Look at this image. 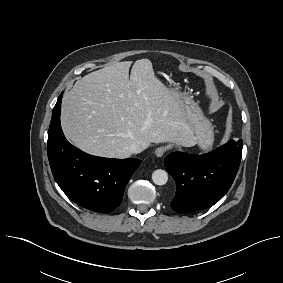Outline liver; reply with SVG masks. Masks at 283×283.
I'll list each match as a JSON object with an SVG mask.
<instances>
[{
    "label": "liver",
    "mask_w": 283,
    "mask_h": 283,
    "mask_svg": "<svg viewBox=\"0 0 283 283\" xmlns=\"http://www.w3.org/2000/svg\"><path fill=\"white\" fill-rule=\"evenodd\" d=\"M117 62L76 81L62 99L66 138L92 155L128 158L139 142L197 144L181 103L154 74L148 59Z\"/></svg>",
    "instance_id": "6515ba94"
}]
</instances>
